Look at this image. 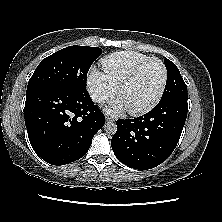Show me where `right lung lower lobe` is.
Masks as SVG:
<instances>
[{
  "instance_id": "obj_1",
  "label": "right lung lower lobe",
  "mask_w": 222,
  "mask_h": 222,
  "mask_svg": "<svg viewBox=\"0 0 222 222\" xmlns=\"http://www.w3.org/2000/svg\"><path fill=\"white\" fill-rule=\"evenodd\" d=\"M25 125L34 151L52 165L80 159L105 124L87 91L43 87L26 94Z\"/></svg>"
}]
</instances>
